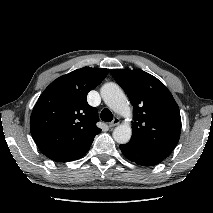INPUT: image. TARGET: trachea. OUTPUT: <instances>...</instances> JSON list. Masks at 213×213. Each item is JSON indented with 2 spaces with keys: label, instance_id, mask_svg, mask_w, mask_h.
<instances>
[{
  "label": "trachea",
  "instance_id": "obj_1",
  "mask_svg": "<svg viewBox=\"0 0 213 213\" xmlns=\"http://www.w3.org/2000/svg\"><path fill=\"white\" fill-rule=\"evenodd\" d=\"M100 117H101V120L105 122H111L113 119V114L109 109L105 108L102 110Z\"/></svg>",
  "mask_w": 213,
  "mask_h": 213
}]
</instances>
